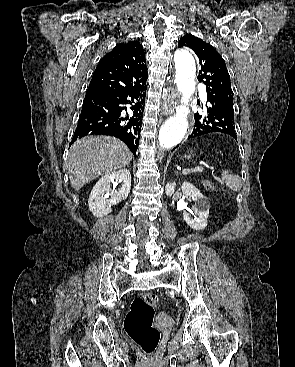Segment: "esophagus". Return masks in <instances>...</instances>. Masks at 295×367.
<instances>
[{
    "label": "esophagus",
    "mask_w": 295,
    "mask_h": 367,
    "mask_svg": "<svg viewBox=\"0 0 295 367\" xmlns=\"http://www.w3.org/2000/svg\"><path fill=\"white\" fill-rule=\"evenodd\" d=\"M176 96L175 88L171 85L164 94L161 102V112L168 116L173 112L172 102Z\"/></svg>",
    "instance_id": "esophagus-1"
}]
</instances>
